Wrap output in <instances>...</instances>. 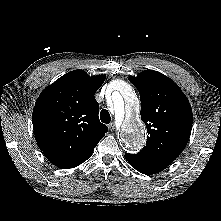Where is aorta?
Returning <instances> with one entry per match:
<instances>
[{
  "label": "aorta",
  "instance_id": "762f6f07",
  "mask_svg": "<svg viewBox=\"0 0 221 221\" xmlns=\"http://www.w3.org/2000/svg\"><path fill=\"white\" fill-rule=\"evenodd\" d=\"M122 92H114V112L116 121L121 124V140L125 149L136 152L142 148L146 131L138 117L139 100L133 88L122 83Z\"/></svg>",
  "mask_w": 221,
  "mask_h": 221
}]
</instances>
